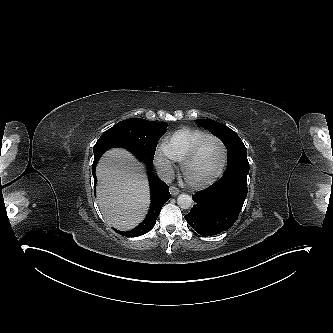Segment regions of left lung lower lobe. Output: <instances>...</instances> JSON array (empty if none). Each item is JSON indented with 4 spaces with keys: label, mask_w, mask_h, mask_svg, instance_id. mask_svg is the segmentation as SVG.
Masks as SVG:
<instances>
[{
    "label": "left lung lower lobe",
    "mask_w": 333,
    "mask_h": 333,
    "mask_svg": "<svg viewBox=\"0 0 333 333\" xmlns=\"http://www.w3.org/2000/svg\"><path fill=\"white\" fill-rule=\"evenodd\" d=\"M246 196L247 180L221 178L192 196L196 205L184 218L202 236L219 234L236 222Z\"/></svg>",
    "instance_id": "obj_1"
}]
</instances>
